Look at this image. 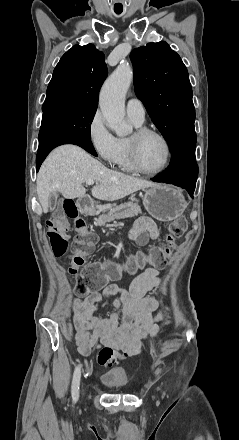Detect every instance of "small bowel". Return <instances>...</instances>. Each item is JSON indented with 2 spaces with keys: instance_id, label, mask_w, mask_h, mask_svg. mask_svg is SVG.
Masks as SVG:
<instances>
[{
  "instance_id": "obj_1",
  "label": "small bowel",
  "mask_w": 239,
  "mask_h": 440,
  "mask_svg": "<svg viewBox=\"0 0 239 440\" xmlns=\"http://www.w3.org/2000/svg\"><path fill=\"white\" fill-rule=\"evenodd\" d=\"M158 235L157 226L149 217L138 218L130 232V237L140 245L147 244ZM160 284L158 269L149 267L133 279L128 289L112 284L102 292L91 291L84 298H75L72 318L78 352L87 356L95 347L111 349L114 352L113 363L137 355L142 341L155 336L164 324V311L153 315L160 300L146 296ZM104 299L111 301L113 312L106 318L94 316Z\"/></svg>"
}]
</instances>
